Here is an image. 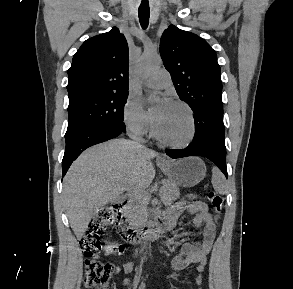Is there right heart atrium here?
Returning a JSON list of instances; mask_svg holds the SVG:
<instances>
[{
    "label": "right heart atrium",
    "instance_id": "obj_1",
    "mask_svg": "<svg viewBox=\"0 0 293 289\" xmlns=\"http://www.w3.org/2000/svg\"><path fill=\"white\" fill-rule=\"evenodd\" d=\"M123 120L127 129L134 136L145 135L150 129L151 122L140 102L129 97L123 108Z\"/></svg>",
    "mask_w": 293,
    "mask_h": 289
}]
</instances>
